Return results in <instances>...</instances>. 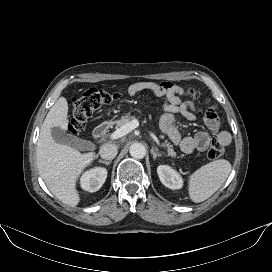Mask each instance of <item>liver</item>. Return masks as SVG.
Listing matches in <instances>:
<instances>
[{"label":"liver","mask_w":272,"mask_h":272,"mask_svg":"<svg viewBox=\"0 0 272 272\" xmlns=\"http://www.w3.org/2000/svg\"><path fill=\"white\" fill-rule=\"evenodd\" d=\"M68 103L60 97L50 108L40 130L36 160L39 173L48 189L64 204L75 207L80 202L76 183L81 173L95 159L96 153L81 154L66 144L56 142L51 129L68 126Z\"/></svg>","instance_id":"6515ba94"}]
</instances>
